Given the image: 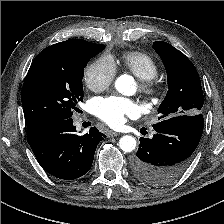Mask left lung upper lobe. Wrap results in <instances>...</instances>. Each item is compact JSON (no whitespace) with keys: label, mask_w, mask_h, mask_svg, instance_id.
I'll list each match as a JSON object with an SVG mask.
<instances>
[{"label":"left lung upper lobe","mask_w":224,"mask_h":224,"mask_svg":"<svg viewBox=\"0 0 224 224\" xmlns=\"http://www.w3.org/2000/svg\"><path fill=\"white\" fill-rule=\"evenodd\" d=\"M154 50L160 55L167 70L168 91L158 111L159 120L180 115L200 114L204 97L195 66L169 43L156 41Z\"/></svg>","instance_id":"obj_1"}]
</instances>
